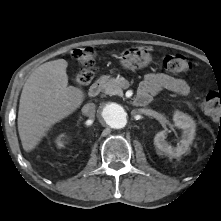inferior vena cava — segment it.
I'll return each mask as SVG.
<instances>
[{
	"label": "inferior vena cava",
	"mask_w": 221,
	"mask_h": 221,
	"mask_svg": "<svg viewBox=\"0 0 221 221\" xmlns=\"http://www.w3.org/2000/svg\"><path fill=\"white\" fill-rule=\"evenodd\" d=\"M82 112L84 115L93 118L95 116V112H96V106L94 103H88L86 105L83 106L82 108Z\"/></svg>",
	"instance_id": "inferior-vena-cava-1"
}]
</instances>
